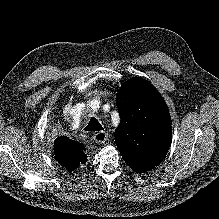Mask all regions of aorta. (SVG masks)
<instances>
[{"label":"aorta","mask_w":219,"mask_h":219,"mask_svg":"<svg viewBox=\"0 0 219 219\" xmlns=\"http://www.w3.org/2000/svg\"><path fill=\"white\" fill-rule=\"evenodd\" d=\"M94 102H98L97 99H93V100L91 101V104L94 103Z\"/></svg>","instance_id":"aorta-1"}]
</instances>
